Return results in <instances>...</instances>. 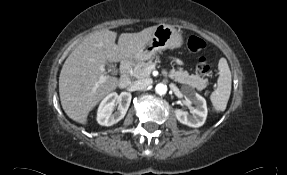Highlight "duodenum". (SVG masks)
Segmentation results:
<instances>
[{
    "label": "duodenum",
    "mask_w": 287,
    "mask_h": 175,
    "mask_svg": "<svg viewBox=\"0 0 287 175\" xmlns=\"http://www.w3.org/2000/svg\"><path fill=\"white\" fill-rule=\"evenodd\" d=\"M132 68V64L130 61H125L121 64V77H120V88L126 89L130 86V71Z\"/></svg>",
    "instance_id": "obj_1"
}]
</instances>
